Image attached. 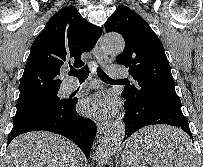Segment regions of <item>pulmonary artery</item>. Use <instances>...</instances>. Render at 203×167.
Here are the masks:
<instances>
[{
    "label": "pulmonary artery",
    "instance_id": "obj_1",
    "mask_svg": "<svg viewBox=\"0 0 203 167\" xmlns=\"http://www.w3.org/2000/svg\"><path fill=\"white\" fill-rule=\"evenodd\" d=\"M110 74L116 78H123L129 76V71L126 67L121 65H113L109 68ZM85 86V85H83ZM79 87L78 83L71 81L66 85V90L71 92Z\"/></svg>",
    "mask_w": 203,
    "mask_h": 167
}]
</instances>
